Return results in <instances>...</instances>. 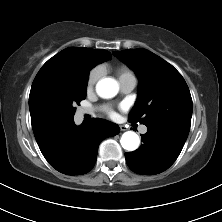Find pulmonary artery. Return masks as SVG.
Segmentation results:
<instances>
[{"instance_id":"1","label":"pulmonary artery","mask_w":222,"mask_h":222,"mask_svg":"<svg viewBox=\"0 0 222 222\" xmlns=\"http://www.w3.org/2000/svg\"><path fill=\"white\" fill-rule=\"evenodd\" d=\"M136 86V79L135 78H126L120 81V90L124 94L130 93ZM91 111L88 109L80 110V115H85L90 113ZM140 133L144 134L147 132V127L145 125L140 126L139 128Z\"/></svg>"}]
</instances>
